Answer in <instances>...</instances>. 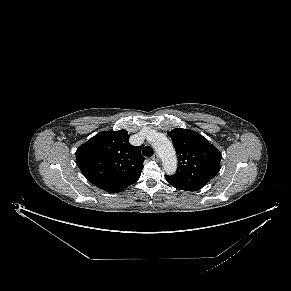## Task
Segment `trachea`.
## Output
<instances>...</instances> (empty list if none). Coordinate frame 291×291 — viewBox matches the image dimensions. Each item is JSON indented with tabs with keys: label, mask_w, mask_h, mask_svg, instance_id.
<instances>
[{
	"label": "trachea",
	"mask_w": 291,
	"mask_h": 291,
	"mask_svg": "<svg viewBox=\"0 0 291 291\" xmlns=\"http://www.w3.org/2000/svg\"><path fill=\"white\" fill-rule=\"evenodd\" d=\"M143 155L146 157H151L153 155V150L150 146H145L143 149Z\"/></svg>",
	"instance_id": "obj_1"
}]
</instances>
